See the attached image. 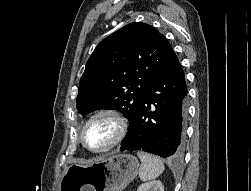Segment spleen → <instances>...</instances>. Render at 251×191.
<instances>
[{"instance_id": "1", "label": "spleen", "mask_w": 251, "mask_h": 191, "mask_svg": "<svg viewBox=\"0 0 251 191\" xmlns=\"http://www.w3.org/2000/svg\"><path fill=\"white\" fill-rule=\"evenodd\" d=\"M137 155L141 159L139 177L142 181L155 179L164 171V163L157 155H151V153H146V151H137Z\"/></svg>"}]
</instances>
